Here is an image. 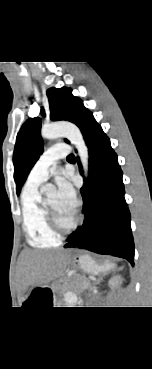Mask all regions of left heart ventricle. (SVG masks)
<instances>
[{"mask_svg":"<svg viewBox=\"0 0 152 369\" xmlns=\"http://www.w3.org/2000/svg\"><path fill=\"white\" fill-rule=\"evenodd\" d=\"M46 202L51 210L55 213L58 221L62 226L67 227L72 223L74 219V214L68 213L62 209L57 194H53L48 197L46 199Z\"/></svg>","mask_w":152,"mask_h":369,"instance_id":"1","label":"left heart ventricle"}]
</instances>
